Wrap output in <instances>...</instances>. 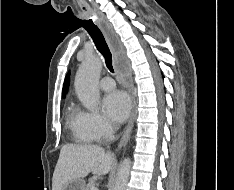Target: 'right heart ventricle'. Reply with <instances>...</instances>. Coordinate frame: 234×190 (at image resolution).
<instances>
[{"label":"right heart ventricle","mask_w":234,"mask_h":190,"mask_svg":"<svg viewBox=\"0 0 234 190\" xmlns=\"http://www.w3.org/2000/svg\"><path fill=\"white\" fill-rule=\"evenodd\" d=\"M67 126L76 141L87 144L96 141L95 137L84 126L81 119V111L73 105L67 109Z\"/></svg>","instance_id":"1"}]
</instances>
